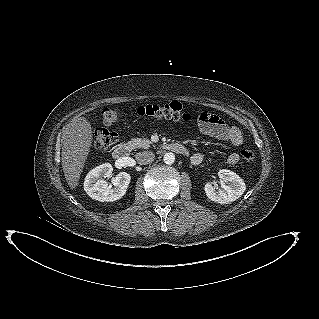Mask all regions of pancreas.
Returning a JSON list of instances; mask_svg holds the SVG:
<instances>
[{
	"label": "pancreas",
	"mask_w": 319,
	"mask_h": 319,
	"mask_svg": "<svg viewBox=\"0 0 319 319\" xmlns=\"http://www.w3.org/2000/svg\"><path fill=\"white\" fill-rule=\"evenodd\" d=\"M152 142L150 140L146 139H141V138H133L130 141H128L127 145L131 149H136V148H144L147 149L150 147Z\"/></svg>",
	"instance_id": "pancreas-1"
}]
</instances>
